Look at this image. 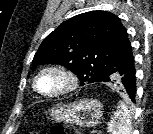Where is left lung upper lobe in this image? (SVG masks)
<instances>
[{
	"mask_svg": "<svg viewBox=\"0 0 153 134\" xmlns=\"http://www.w3.org/2000/svg\"><path fill=\"white\" fill-rule=\"evenodd\" d=\"M132 57L120 19L109 12L90 11L64 21L43 40L33 69L40 64H60L78 76L81 86L107 78L119 88L114 73Z\"/></svg>",
	"mask_w": 153,
	"mask_h": 134,
	"instance_id": "left-lung-upper-lobe-1",
	"label": "left lung upper lobe"
}]
</instances>
